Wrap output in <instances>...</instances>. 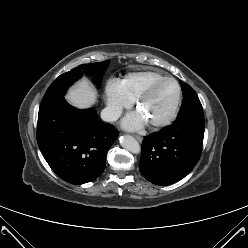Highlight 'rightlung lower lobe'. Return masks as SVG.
Masks as SVG:
<instances>
[{
    "mask_svg": "<svg viewBox=\"0 0 248 248\" xmlns=\"http://www.w3.org/2000/svg\"><path fill=\"white\" fill-rule=\"evenodd\" d=\"M117 137L115 127L101 122L94 108L78 110L64 97L39 109V148L52 170L69 183L96 179Z\"/></svg>",
    "mask_w": 248,
    "mask_h": 248,
    "instance_id": "right-lung-lower-lobe-1",
    "label": "right lung lower lobe"
}]
</instances>
